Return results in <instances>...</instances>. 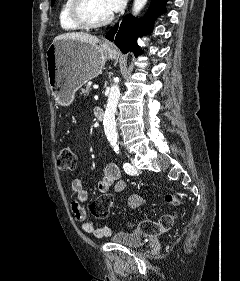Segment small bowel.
<instances>
[{
	"label": "small bowel",
	"instance_id": "obj_1",
	"mask_svg": "<svg viewBox=\"0 0 240 281\" xmlns=\"http://www.w3.org/2000/svg\"><path fill=\"white\" fill-rule=\"evenodd\" d=\"M72 192L71 211L75 218L82 224V229L97 238L106 237L110 234L107 227H97L93 222L87 220L84 203L88 198V193L84 188L81 179L75 178L70 183ZM127 188L126 182L120 177V170L114 163L105 166L102 177L98 182V190L101 193H108L113 190L115 193H124ZM127 204L130 208H138L142 204V198L132 193L128 196Z\"/></svg>",
	"mask_w": 240,
	"mask_h": 281
}]
</instances>
